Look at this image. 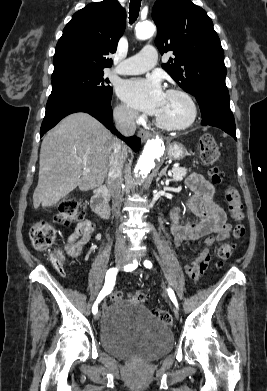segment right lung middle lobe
I'll return each mask as SVG.
<instances>
[{"label":"right lung middle lobe","mask_w":267,"mask_h":391,"mask_svg":"<svg viewBox=\"0 0 267 391\" xmlns=\"http://www.w3.org/2000/svg\"><path fill=\"white\" fill-rule=\"evenodd\" d=\"M103 71H73L52 76L49 99L68 94H81L111 100L112 88L104 80Z\"/></svg>","instance_id":"1"}]
</instances>
